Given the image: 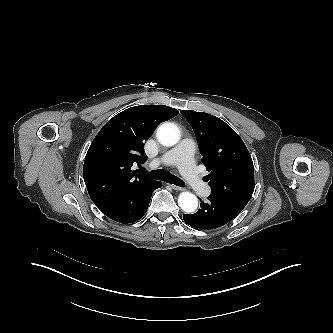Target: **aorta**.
<instances>
[{
  "mask_svg": "<svg viewBox=\"0 0 333 333\" xmlns=\"http://www.w3.org/2000/svg\"><path fill=\"white\" fill-rule=\"evenodd\" d=\"M157 139L164 146H173L180 139V131L174 123H163L157 130ZM178 205L187 213L194 212L198 205L197 197L190 192H182L178 198Z\"/></svg>",
  "mask_w": 333,
  "mask_h": 333,
  "instance_id": "1",
  "label": "aorta"
}]
</instances>
